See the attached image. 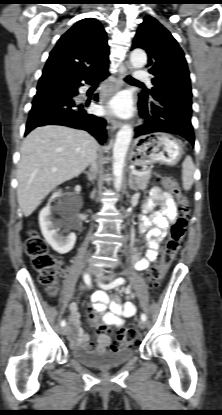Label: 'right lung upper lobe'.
I'll return each instance as SVG.
<instances>
[{"label": "right lung upper lobe", "instance_id": "obj_1", "mask_svg": "<svg viewBox=\"0 0 222 415\" xmlns=\"http://www.w3.org/2000/svg\"><path fill=\"white\" fill-rule=\"evenodd\" d=\"M109 46L101 23L86 18L73 25L58 40L44 69H57L78 76L108 69Z\"/></svg>", "mask_w": 222, "mask_h": 415}]
</instances>
